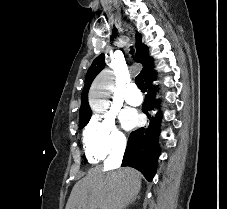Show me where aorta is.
Here are the masks:
<instances>
[{"mask_svg": "<svg viewBox=\"0 0 227 209\" xmlns=\"http://www.w3.org/2000/svg\"><path fill=\"white\" fill-rule=\"evenodd\" d=\"M113 86L111 70L105 69L96 77L89 93V102L93 111L103 112L108 108L107 98Z\"/></svg>", "mask_w": 227, "mask_h": 209, "instance_id": "1", "label": "aorta"}]
</instances>
